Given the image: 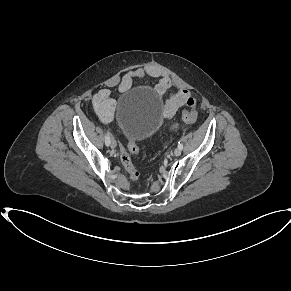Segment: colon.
<instances>
[{
    "instance_id": "obj_1",
    "label": "colon",
    "mask_w": 291,
    "mask_h": 291,
    "mask_svg": "<svg viewBox=\"0 0 291 291\" xmlns=\"http://www.w3.org/2000/svg\"><path fill=\"white\" fill-rule=\"evenodd\" d=\"M181 119L186 122H194L197 119V100L194 96L190 95L187 99L186 108L181 112ZM138 152V145L134 141H129L127 147L122 146L120 150L122 164L133 182L139 179L140 174L134 167L130 154L137 155Z\"/></svg>"
}]
</instances>
